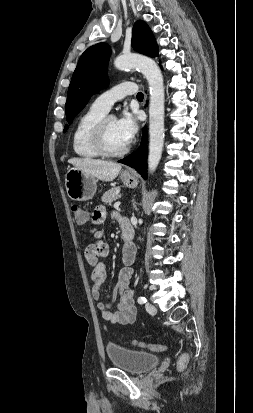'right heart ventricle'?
I'll return each mask as SVG.
<instances>
[{"label": "right heart ventricle", "instance_id": "obj_1", "mask_svg": "<svg viewBox=\"0 0 253 413\" xmlns=\"http://www.w3.org/2000/svg\"><path fill=\"white\" fill-rule=\"evenodd\" d=\"M106 113L91 106L77 120L72 133V147L74 153L85 159H93L101 156L93 147L90 133L98 120Z\"/></svg>", "mask_w": 253, "mask_h": 413}]
</instances>
